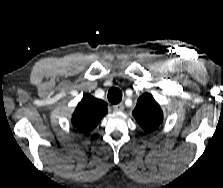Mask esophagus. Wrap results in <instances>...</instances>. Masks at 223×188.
I'll return each mask as SVG.
<instances>
[{"label":"esophagus","instance_id":"esophagus-1","mask_svg":"<svg viewBox=\"0 0 223 188\" xmlns=\"http://www.w3.org/2000/svg\"><path fill=\"white\" fill-rule=\"evenodd\" d=\"M114 111L116 112H122L124 110V104L119 103L113 106Z\"/></svg>","mask_w":223,"mask_h":188}]
</instances>
